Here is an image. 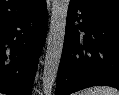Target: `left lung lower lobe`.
I'll use <instances>...</instances> for the list:
<instances>
[{"mask_svg":"<svg viewBox=\"0 0 119 95\" xmlns=\"http://www.w3.org/2000/svg\"><path fill=\"white\" fill-rule=\"evenodd\" d=\"M98 85L119 89V16L70 0L55 95Z\"/></svg>","mask_w":119,"mask_h":95,"instance_id":"obj_1","label":"left lung lower lobe"}]
</instances>
